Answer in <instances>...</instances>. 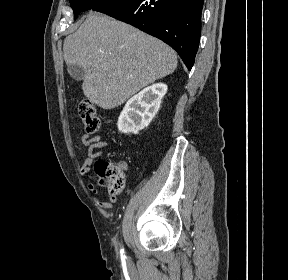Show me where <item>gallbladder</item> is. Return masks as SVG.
Instances as JSON below:
<instances>
[{
  "mask_svg": "<svg viewBox=\"0 0 288 280\" xmlns=\"http://www.w3.org/2000/svg\"><path fill=\"white\" fill-rule=\"evenodd\" d=\"M68 72L77 81L81 80L84 74L82 67L76 64L68 65Z\"/></svg>",
  "mask_w": 288,
  "mask_h": 280,
  "instance_id": "gallbladder-1",
  "label": "gallbladder"
}]
</instances>
